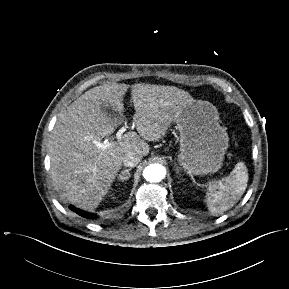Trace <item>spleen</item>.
I'll return each instance as SVG.
<instances>
[{"label":"spleen","instance_id":"3e777b00","mask_svg":"<svg viewBox=\"0 0 289 289\" xmlns=\"http://www.w3.org/2000/svg\"><path fill=\"white\" fill-rule=\"evenodd\" d=\"M248 179L246 165L238 162L229 176L209 182L205 199L208 209L221 214L233 207L246 190Z\"/></svg>","mask_w":289,"mask_h":289}]
</instances>
